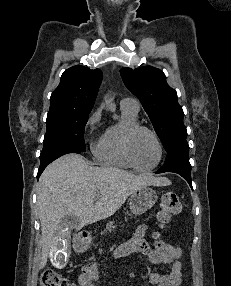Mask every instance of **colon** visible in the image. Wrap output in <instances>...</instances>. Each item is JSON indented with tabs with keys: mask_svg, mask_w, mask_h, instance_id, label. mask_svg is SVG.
Returning a JSON list of instances; mask_svg holds the SVG:
<instances>
[{
	"mask_svg": "<svg viewBox=\"0 0 231 286\" xmlns=\"http://www.w3.org/2000/svg\"><path fill=\"white\" fill-rule=\"evenodd\" d=\"M182 205L173 192L165 193L160 202L158 219L162 225L168 224L174 216L180 214ZM40 286H76L66 277L53 270L45 271L40 280Z\"/></svg>",
	"mask_w": 231,
	"mask_h": 286,
	"instance_id": "1",
	"label": "colon"
}]
</instances>
